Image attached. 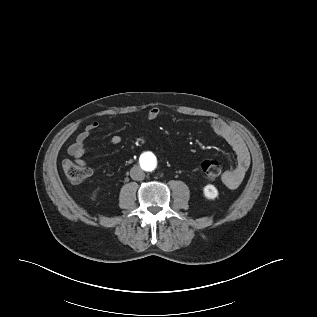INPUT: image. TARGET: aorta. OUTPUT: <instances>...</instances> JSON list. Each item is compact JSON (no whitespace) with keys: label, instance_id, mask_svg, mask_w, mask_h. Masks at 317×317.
Masks as SVG:
<instances>
[{"label":"aorta","instance_id":"obj_1","mask_svg":"<svg viewBox=\"0 0 317 317\" xmlns=\"http://www.w3.org/2000/svg\"><path fill=\"white\" fill-rule=\"evenodd\" d=\"M141 165L147 170V171H153L156 168V160L155 156L153 155H142L140 158Z\"/></svg>","mask_w":317,"mask_h":317}]
</instances>
